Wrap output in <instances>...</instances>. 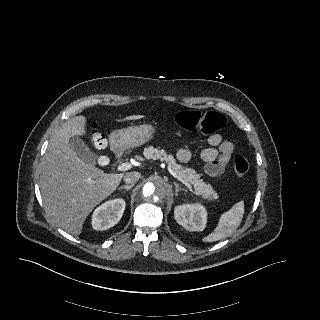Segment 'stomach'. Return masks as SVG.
<instances>
[{
    "instance_id": "stomach-1",
    "label": "stomach",
    "mask_w": 320,
    "mask_h": 320,
    "mask_svg": "<svg viewBox=\"0 0 320 320\" xmlns=\"http://www.w3.org/2000/svg\"><path fill=\"white\" fill-rule=\"evenodd\" d=\"M155 131V127L150 124L131 126L113 131L110 141L115 147L128 149L147 143L153 138Z\"/></svg>"
}]
</instances>
